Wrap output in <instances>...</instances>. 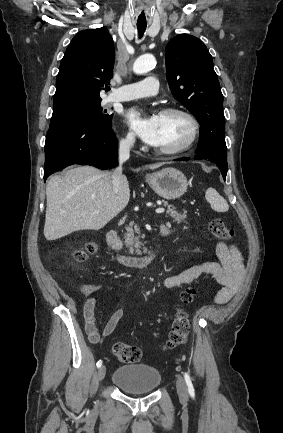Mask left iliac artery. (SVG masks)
<instances>
[{"label":"left iliac artery","instance_id":"obj_1","mask_svg":"<svg viewBox=\"0 0 283 433\" xmlns=\"http://www.w3.org/2000/svg\"><path fill=\"white\" fill-rule=\"evenodd\" d=\"M184 378H185L186 384L188 386V392H189L190 396L194 398V396H195L194 387H193V384H192V381H191L189 374L185 372Z\"/></svg>","mask_w":283,"mask_h":433}]
</instances>
